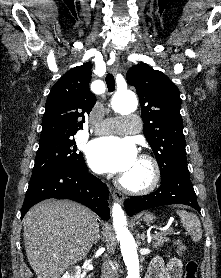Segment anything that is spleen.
Returning <instances> with one entry per match:
<instances>
[{
  "instance_id": "obj_1",
  "label": "spleen",
  "mask_w": 221,
  "mask_h": 278,
  "mask_svg": "<svg viewBox=\"0 0 221 278\" xmlns=\"http://www.w3.org/2000/svg\"><path fill=\"white\" fill-rule=\"evenodd\" d=\"M176 213L179 215L183 227L190 234L191 239L194 242H199L202 238V228L198 217L185 210H177Z\"/></svg>"
}]
</instances>
